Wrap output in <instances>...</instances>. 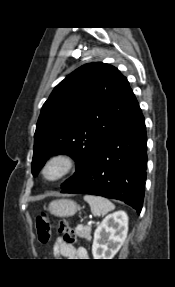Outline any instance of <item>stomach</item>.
Here are the masks:
<instances>
[{
    "instance_id": "1",
    "label": "stomach",
    "mask_w": 175,
    "mask_h": 287,
    "mask_svg": "<svg viewBox=\"0 0 175 287\" xmlns=\"http://www.w3.org/2000/svg\"><path fill=\"white\" fill-rule=\"evenodd\" d=\"M48 210L57 217H70L79 210V206L73 200L59 199L52 201L49 204Z\"/></svg>"
}]
</instances>
